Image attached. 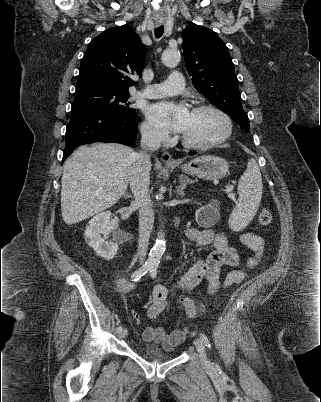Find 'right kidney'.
Here are the masks:
<instances>
[{"label": "right kidney", "mask_w": 321, "mask_h": 402, "mask_svg": "<svg viewBox=\"0 0 321 402\" xmlns=\"http://www.w3.org/2000/svg\"><path fill=\"white\" fill-rule=\"evenodd\" d=\"M115 221L111 219V212L105 211L95 215L88 223L85 230V239L96 254L106 260L115 257L118 244L107 241ZM103 235V236H102Z\"/></svg>", "instance_id": "right-kidney-1"}]
</instances>
